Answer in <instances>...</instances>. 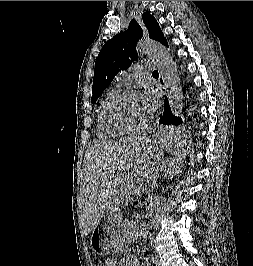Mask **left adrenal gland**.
Returning <instances> with one entry per match:
<instances>
[{
  "mask_svg": "<svg viewBox=\"0 0 253 266\" xmlns=\"http://www.w3.org/2000/svg\"><path fill=\"white\" fill-rule=\"evenodd\" d=\"M162 168H166V167H164V165L161 167V169ZM157 185H156V182H155V180H154V177L152 178V179H150L149 180V188H151L152 190L156 187Z\"/></svg>",
  "mask_w": 253,
  "mask_h": 266,
  "instance_id": "obj_1",
  "label": "left adrenal gland"
}]
</instances>
